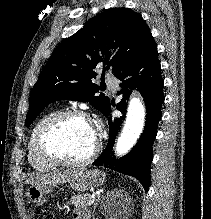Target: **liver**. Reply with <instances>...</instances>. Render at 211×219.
Here are the masks:
<instances>
[{
    "label": "liver",
    "mask_w": 211,
    "mask_h": 219,
    "mask_svg": "<svg viewBox=\"0 0 211 219\" xmlns=\"http://www.w3.org/2000/svg\"><path fill=\"white\" fill-rule=\"evenodd\" d=\"M80 170H66L64 172H51L36 175L28 180L31 185H56L63 184L75 179Z\"/></svg>",
    "instance_id": "liver-1"
}]
</instances>
